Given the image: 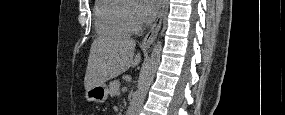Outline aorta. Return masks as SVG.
Instances as JSON below:
<instances>
[{"label":"aorta","mask_w":285,"mask_h":115,"mask_svg":"<svg viewBox=\"0 0 285 115\" xmlns=\"http://www.w3.org/2000/svg\"><path fill=\"white\" fill-rule=\"evenodd\" d=\"M161 50H162V45H161V42L158 41L153 48L150 62L140 79V82L138 84V89L133 95V98L130 102L127 115H138L139 114L143 106L147 92L154 80L155 73H156L158 64L160 62Z\"/></svg>","instance_id":"obj_1"}]
</instances>
